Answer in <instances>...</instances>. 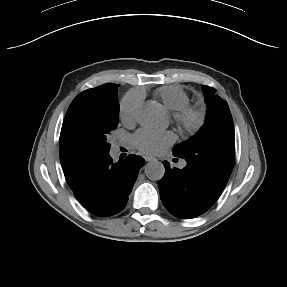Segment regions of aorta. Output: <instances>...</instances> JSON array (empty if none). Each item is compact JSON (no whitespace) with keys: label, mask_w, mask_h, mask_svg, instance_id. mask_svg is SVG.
Here are the masks:
<instances>
[{"label":"aorta","mask_w":287,"mask_h":287,"mask_svg":"<svg viewBox=\"0 0 287 287\" xmlns=\"http://www.w3.org/2000/svg\"><path fill=\"white\" fill-rule=\"evenodd\" d=\"M164 172V166L159 161L150 163L145 168V174L151 180H160L163 177Z\"/></svg>","instance_id":"762f6f07"}]
</instances>
